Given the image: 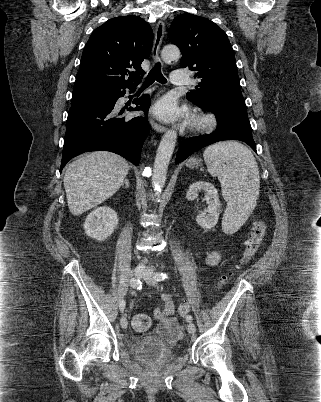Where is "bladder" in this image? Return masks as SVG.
Here are the masks:
<instances>
[{"label":"bladder","instance_id":"obj_1","mask_svg":"<svg viewBox=\"0 0 321 402\" xmlns=\"http://www.w3.org/2000/svg\"><path fill=\"white\" fill-rule=\"evenodd\" d=\"M179 342L180 339L174 344H168L160 339L156 333L149 332L135 340L132 353L148 366H166L175 360Z\"/></svg>","mask_w":321,"mask_h":402}]
</instances>
